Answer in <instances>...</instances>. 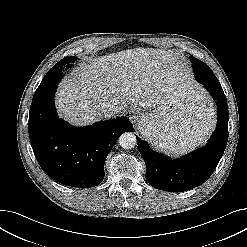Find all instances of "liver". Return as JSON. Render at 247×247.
<instances>
[{"mask_svg":"<svg viewBox=\"0 0 247 247\" xmlns=\"http://www.w3.org/2000/svg\"><path fill=\"white\" fill-rule=\"evenodd\" d=\"M185 77L170 51L135 48L94 58L72 71L56 94L58 112L75 125L103 118L102 107L114 104L119 111L128 104L155 108ZM196 110L195 106L187 109ZM213 116V108L208 109ZM209 118L205 124L210 127Z\"/></svg>","mask_w":247,"mask_h":247,"instance_id":"obj_1","label":"liver"}]
</instances>
